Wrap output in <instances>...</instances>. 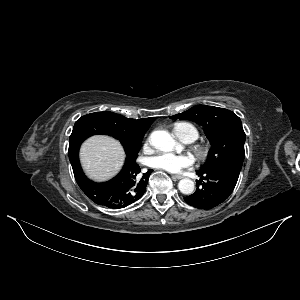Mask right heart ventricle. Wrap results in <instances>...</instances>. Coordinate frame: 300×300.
<instances>
[{"label": "right heart ventricle", "instance_id": "obj_1", "mask_svg": "<svg viewBox=\"0 0 300 300\" xmlns=\"http://www.w3.org/2000/svg\"><path fill=\"white\" fill-rule=\"evenodd\" d=\"M174 133L177 137L182 140L191 138L192 141L198 138V130L192 124L189 123H179L174 126Z\"/></svg>", "mask_w": 300, "mask_h": 300}]
</instances>
